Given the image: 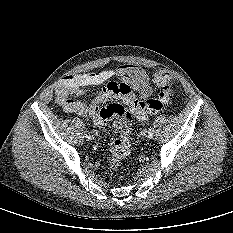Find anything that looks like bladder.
<instances>
[{"label": "bladder", "instance_id": "1", "mask_svg": "<svg viewBox=\"0 0 233 233\" xmlns=\"http://www.w3.org/2000/svg\"><path fill=\"white\" fill-rule=\"evenodd\" d=\"M111 126L114 132L120 133L123 129L129 127L130 124L125 116L115 115V117L112 119Z\"/></svg>", "mask_w": 233, "mask_h": 233}]
</instances>
